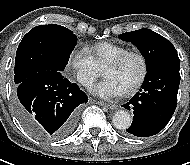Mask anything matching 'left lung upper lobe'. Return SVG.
<instances>
[{"mask_svg": "<svg viewBox=\"0 0 190 165\" xmlns=\"http://www.w3.org/2000/svg\"><path fill=\"white\" fill-rule=\"evenodd\" d=\"M123 41L131 42L145 58L147 70L173 59H179L172 43L150 29H139L119 35Z\"/></svg>", "mask_w": 190, "mask_h": 165, "instance_id": "5c2ea615", "label": "left lung upper lobe"}]
</instances>
